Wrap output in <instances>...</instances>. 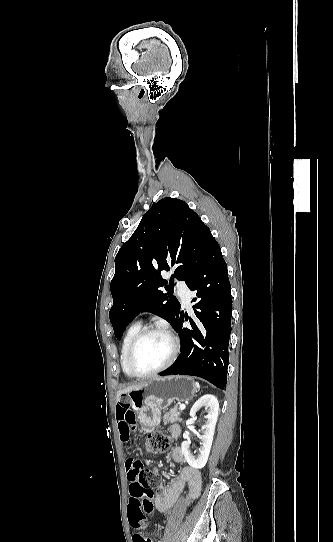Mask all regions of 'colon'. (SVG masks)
I'll list each match as a JSON object with an SVG mask.
<instances>
[{"label": "colon", "instance_id": "1", "mask_svg": "<svg viewBox=\"0 0 333 542\" xmlns=\"http://www.w3.org/2000/svg\"><path fill=\"white\" fill-rule=\"evenodd\" d=\"M171 446V437L162 431H156L150 434L145 443L147 452L151 455H159L167 451ZM125 466L128 469L126 477L130 481L136 483L127 484V493L131 494L134 502L143 503L150 501L152 498L151 489L160 486V476L148 469H144V465L136 458H127ZM129 522L134 525H147L150 522V517L153 514L151 505H129L128 509ZM137 540L145 541L142 537Z\"/></svg>", "mask_w": 333, "mask_h": 542}]
</instances>
